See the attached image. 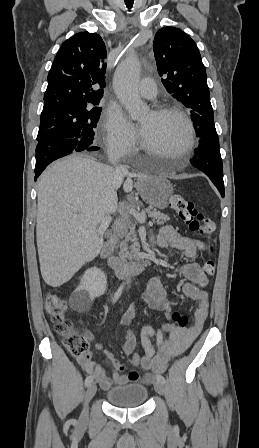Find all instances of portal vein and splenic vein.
I'll list each match as a JSON object with an SVG mask.
<instances>
[{"mask_svg": "<svg viewBox=\"0 0 259 448\" xmlns=\"http://www.w3.org/2000/svg\"><path fill=\"white\" fill-rule=\"evenodd\" d=\"M76 214H78V210H76ZM135 218H139V216H135ZM110 222H112V218H104V220H102L101 224H100V228L98 230V232H100V234H104L105 230H107Z\"/></svg>", "mask_w": 259, "mask_h": 448, "instance_id": "portal-vein-and-splenic-vein-1", "label": "portal vein and splenic vein"}]
</instances>
